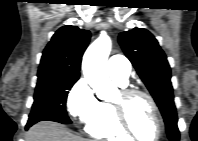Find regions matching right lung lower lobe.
Returning <instances> with one entry per match:
<instances>
[{"mask_svg": "<svg viewBox=\"0 0 198 141\" xmlns=\"http://www.w3.org/2000/svg\"><path fill=\"white\" fill-rule=\"evenodd\" d=\"M29 128V126H26V129H28Z\"/></svg>", "mask_w": 198, "mask_h": 141, "instance_id": "obj_1", "label": "right lung lower lobe"}]
</instances>
